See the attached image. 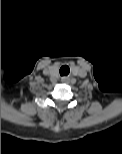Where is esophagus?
<instances>
[{
  "mask_svg": "<svg viewBox=\"0 0 122 154\" xmlns=\"http://www.w3.org/2000/svg\"><path fill=\"white\" fill-rule=\"evenodd\" d=\"M61 81L63 83H67L69 81V78L68 77H62Z\"/></svg>",
  "mask_w": 122,
  "mask_h": 154,
  "instance_id": "34e87169",
  "label": "esophagus"
}]
</instances>
